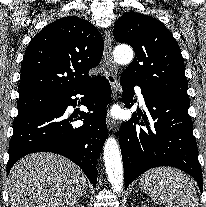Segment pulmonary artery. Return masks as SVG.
<instances>
[{
	"mask_svg": "<svg viewBox=\"0 0 206 207\" xmlns=\"http://www.w3.org/2000/svg\"><path fill=\"white\" fill-rule=\"evenodd\" d=\"M135 92L139 98V101L141 104H144L145 103V99H144V96H143V93H142V90L139 88V87H136L135 88Z\"/></svg>",
	"mask_w": 206,
	"mask_h": 207,
	"instance_id": "1",
	"label": "pulmonary artery"
}]
</instances>
